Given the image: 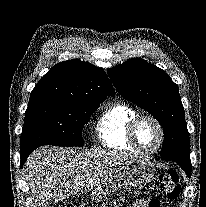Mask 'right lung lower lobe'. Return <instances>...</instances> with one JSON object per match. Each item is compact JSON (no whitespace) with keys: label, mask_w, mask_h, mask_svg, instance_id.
<instances>
[{"label":"right lung lower lobe","mask_w":206,"mask_h":207,"mask_svg":"<svg viewBox=\"0 0 206 207\" xmlns=\"http://www.w3.org/2000/svg\"><path fill=\"white\" fill-rule=\"evenodd\" d=\"M31 152H24V153H20L21 156V167L23 166L25 160L27 159V157L29 156Z\"/></svg>","instance_id":"98d812e1"}]
</instances>
